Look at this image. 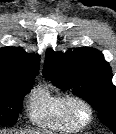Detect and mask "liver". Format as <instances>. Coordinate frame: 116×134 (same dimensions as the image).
<instances>
[{"mask_svg": "<svg viewBox=\"0 0 116 134\" xmlns=\"http://www.w3.org/2000/svg\"><path fill=\"white\" fill-rule=\"evenodd\" d=\"M15 134H19V133H15ZM21 134H41V133L40 132H36V131H30V132H24V133H21Z\"/></svg>", "mask_w": 116, "mask_h": 134, "instance_id": "1", "label": "liver"}]
</instances>
